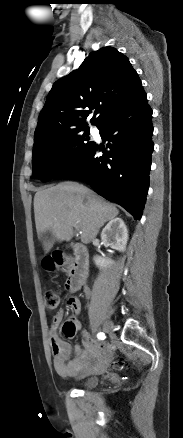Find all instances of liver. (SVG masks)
Here are the masks:
<instances>
[{"mask_svg":"<svg viewBox=\"0 0 183 438\" xmlns=\"http://www.w3.org/2000/svg\"><path fill=\"white\" fill-rule=\"evenodd\" d=\"M34 213L39 234L50 231L59 242L70 241L75 227L82 232L81 241L88 244L119 211L86 186L63 182L36 192ZM51 246L50 242L44 243L46 251Z\"/></svg>","mask_w":183,"mask_h":438,"instance_id":"liver-1","label":"liver"}]
</instances>
